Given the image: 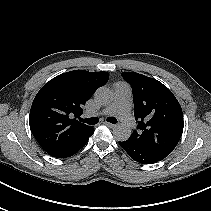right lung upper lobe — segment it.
<instances>
[{
    "label": "right lung upper lobe",
    "instance_id": "1",
    "mask_svg": "<svg viewBox=\"0 0 211 211\" xmlns=\"http://www.w3.org/2000/svg\"><path fill=\"white\" fill-rule=\"evenodd\" d=\"M107 72L73 70L47 82L36 94L29 116L31 132L48 154H56L91 129L76 120L96 89L107 83Z\"/></svg>",
    "mask_w": 211,
    "mask_h": 211
}]
</instances>
